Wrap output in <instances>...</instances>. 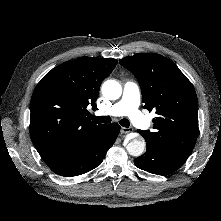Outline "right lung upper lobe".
<instances>
[{"label":"right lung upper lobe","mask_w":221,"mask_h":221,"mask_svg":"<svg viewBox=\"0 0 221 221\" xmlns=\"http://www.w3.org/2000/svg\"><path fill=\"white\" fill-rule=\"evenodd\" d=\"M113 58L83 57L53 68L37 84L30 104V136L41 157L51 160L91 141L103 127L90 121L102 81Z\"/></svg>","instance_id":"cb5924a9"}]
</instances>
